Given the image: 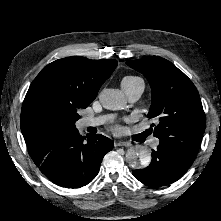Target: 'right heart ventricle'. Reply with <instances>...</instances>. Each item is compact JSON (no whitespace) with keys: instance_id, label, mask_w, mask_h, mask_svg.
I'll list each match as a JSON object with an SVG mask.
<instances>
[{"instance_id":"obj_1","label":"right heart ventricle","mask_w":221,"mask_h":221,"mask_svg":"<svg viewBox=\"0 0 221 221\" xmlns=\"http://www.w3.org/2000/svg\"><path fill=\"white\" fill-rule=\"evenodd\" d=\"M138 81H142V79L138 76L130 75V76L124 77L122 79L121 84L134 83V82H138Z\"/></svg>"}]
</instances>
